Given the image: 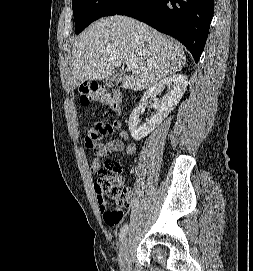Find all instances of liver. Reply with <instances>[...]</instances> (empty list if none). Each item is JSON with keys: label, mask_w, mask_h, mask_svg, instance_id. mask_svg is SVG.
Listing matches in <instances>:
<instances>
[{"label": "liver", "mask_w": 253, "mask_h": 271, "mask_svg": "<svg viewBox=\"0 0 253 271\" xmlns=\"http://www.w3.org/2000/svg\"><path fill=\"white\" fill-rule=\"evenodd\" d=\"M68 86L100 81L124 61L135 67L122 80L123 89L139 91L181 70L186 63L182 46L145 23L126 16H110L91 24L72 48Z\"/></svg>", "instance_id": "obj_1"}]
</instances>
